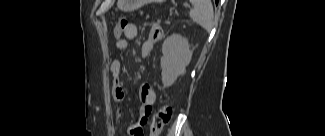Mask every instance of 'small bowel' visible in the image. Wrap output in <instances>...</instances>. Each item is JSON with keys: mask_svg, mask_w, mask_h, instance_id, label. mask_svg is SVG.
Instances as JSON below:
<instances>
[{"mask_svg": "<svg viewBox=\"0 0 325 136\" xmlns=\"http://www.w3.org/2000/svg\"><path fill=\"white\" fill-rule=\"evenodd\" d=\"M137 33V26L131 22H129L126 27L122 29L119 35H117V32L114 31L115 49L117 51H124L127 48L129 41H132L137 37ZM162 35L163 30L161 26H153L150 29L147 38L141 45V55L145 57L149 56L153 45L162 38ZM110 70L114 77L113 96L115 101L118 103V106L115 110V124L118 126L122 120V103L125 99V91L119 80V76L122 72V62L119 60H113L110 65ZM138 99L140 102L138 118L128 127V133L132 136H145L143 129L149 121V117L152 112V106L155 100V94L150 85L143 84L140 87Z\"/></svg>", "mask_w": 325, "mask_h": 136, "instance_id": "obj_1", "label": "small bowel"}]
</instances>
